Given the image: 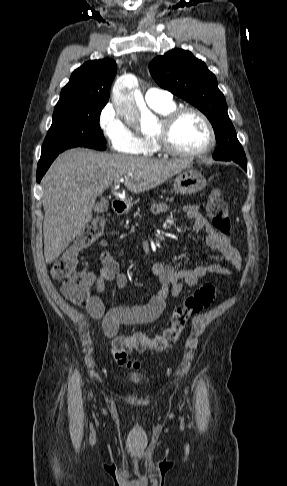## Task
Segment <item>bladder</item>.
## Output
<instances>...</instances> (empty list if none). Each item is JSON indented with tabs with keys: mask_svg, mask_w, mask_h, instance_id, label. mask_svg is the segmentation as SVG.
Masks as SVG:
<instances>
[{
	"mask_svg": "<svg viewBox=\"0 0 287 486\" xmlns=\"http://www.w3.org/2000/svg\"><path fill=\"white\" fill-rule=\"evenodd\" d=\"M129 381H131L133 383H139V382H141V378L140 377H129Z\"/></svg>",
	"mask_w": 287,
	"mask_h": 486,
	"instance_id": "1",
	"label": "bladder"
}]
</instances>
